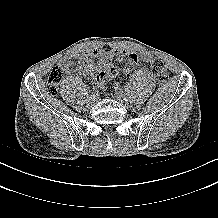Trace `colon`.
<instances>
[{
	"label": "colon",
	"mask_w": 218,
	"mask_h": 218,
	"mask_svg": "<svg viewBox=\"0 0 218 218\" xmlns=\"http://www.w3.org/2000/svg\"><path fill=\"white\" fill-rule=\"evenodd\" d=\"M150 69L156 80L163 84L168 79V72L165 64L158 58H153L150 61ZM123 71L118 66L111 65L107 69L101 71L94 82V86L97 88L104 87L105 83L113 78H115L119 73ZM63 78L62 69L59 66H55L49 76L47 81V89L51 95H55L58 92L59 85Z\"/></svg>",
	"instance_id": "colon-1"
}]
</instances>
